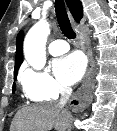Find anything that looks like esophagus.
I'll use <instances>...</instances> for the list:
<instances>
[{"instance_id": "34e87169", "label": "esophagus", "mask_w": 117, "mask_h": 131, "mask_svg": "<svg viewBox=\"0 0 117 131\" xmlns=\"http://www.w3.org/2000/svg\"><path fill=\"white\" fill-rule=\"evenodd\" d=\"M84 48L88 56L89 64H88V69L84 77L82 86L76 91V93L72 96L69 102V105L72 111L74 112L82 111L92 101L90 83L93 76L94 61H93L92 51L90 49V46L87 40H85Z\"/></svg>"}]
</instances>
